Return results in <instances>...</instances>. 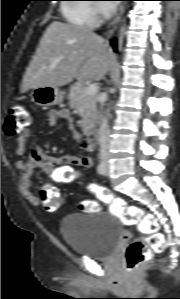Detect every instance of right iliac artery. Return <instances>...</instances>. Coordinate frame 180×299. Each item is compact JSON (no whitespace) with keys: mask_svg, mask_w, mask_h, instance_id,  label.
Wrapping results in <instances>:
<instances>
[{"mask_svg":"<svg viewBox=\"0 0 180 299\" xmlns=\"http://www.w3.org/2000/svg\"><path fill=\"white\" fill-rule=\"evenodd\" d=\"M97 171L100 175H103L105 173V163L103 161L100 162Z\"/></svg>","mask_w":180,"mask_h":299,"instance_id":"obj_1","label":"right iliac artery"}]
</instances>
